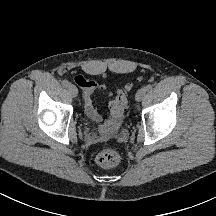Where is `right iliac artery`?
Returning a JSON list of instances; mask_svg holds the SVG:
<instances>
[{"mask_svg":"<svg viewBox=\"0 0 216 216\" xmlns=\"http://www.w3.org/2000/svg\"><path fill=\"white\" fill-rule=\"evenodd\" d=\"M70 83L67 80L62 81V86L67 88L69 87Z\"/></svg>","mask_w":216,"mask_h":216,"instance_id":"1","label":"right iliac artery"}]
</instances>
